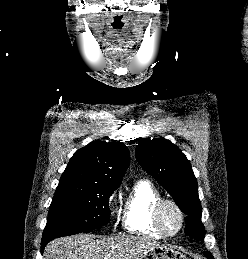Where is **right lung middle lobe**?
Instances as JSON below:
<instances>
[{
	"instance_id": "right-lung-middle-lobe-1",
	"label": "right lung middle lobe",
	"mask_w": 248,
	"mask_h": 259,
	"mask_svg": "<svg viewBox=\"0 0 248 259\" xmlns=\"http://www.w3.org/2000/svg\"><path fill=\"white\" fill-rule=\"evenodd\" d=\"M117 188L103 186L57 187L42 239L89 231L109 222V197Z\"/></svg>"
}]
</instances>
